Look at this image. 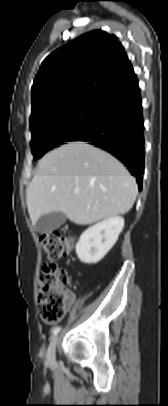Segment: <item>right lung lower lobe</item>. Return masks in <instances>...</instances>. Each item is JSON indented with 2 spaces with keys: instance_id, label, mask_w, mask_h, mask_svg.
I'll return each mask as SVG.
<instances>
[{
  "instance_id": "obj_1",
  "label": "right lung lower lobe",
  "mask_w": 168,
  "mask_h": 406,
  "mask_svg": "<svg viewBox=\"0 0 168 406\" xmlns=\"http://www.w3.org/2000/svg\"><path fill=\"white\" fill-rule=\"evenodd\" d=\"M103 100L104 115L101 120L73 141L89 142L112 154L128 167L141 189L144 122L138 80Z\"/></svg>"
}]
</instances>
